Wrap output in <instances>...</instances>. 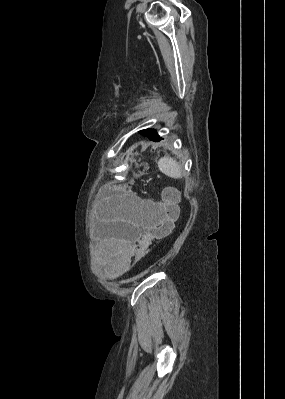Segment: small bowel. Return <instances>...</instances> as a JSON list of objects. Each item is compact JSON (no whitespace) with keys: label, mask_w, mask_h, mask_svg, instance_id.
Masks as SVG:
<instances>
[{"label":"small bowel","mask_w":285,"mask_h":399,"mask_svg":"<svg viewBox=\"0 0 285 399\" xmlns=\"http://www.w3.org/2000/svg\"><path fill=\"white\" fill-rule=\"evenodd\" d=\"M165 202L134 197L124 221L126 239L119 245L115 264L120 270H126L134 259L135 246L152 232L163 220V214L157 208Z\"/></svg>","instance_id":"1"}]
</instances>
